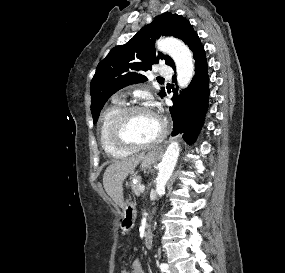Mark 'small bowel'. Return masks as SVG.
Returning <instances> with one entry per match:
<instances>
[{
    "label": "small bowel",
    "instance_id": "c3829d8e",
    "mask_svg": "<svg viewBox=\"0 0 285 273\" xmlns=\"http://www.w3.org/2000/svg\"><path fill=\"white\" fill-rule=\"evenodd\" d=\"M123 273H144L142 264L139 260H134L129 269L125 268Z\"/></svg>",
    "mask_w": 285,
    "mask_h": 273
}]
</instances>
